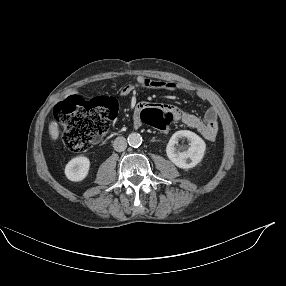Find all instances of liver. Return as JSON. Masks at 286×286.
Here are the masks:
<instances>
[{"instance_id": "1", "label": "liver", "mask_w": 286, "mask_h": 286, "mask_svg": "<svg viewBox=\"0 0 286 286\" xmlns=\"http://www.w3.org/2000/svg\"><path fill=\"white\" fill-rule=\"evenodd\" d=\"M49 134L52 140H57L59 137V128L53 121L49 124Z\"/></svg>"}]
</instances>
